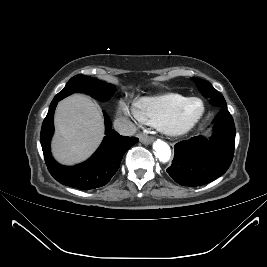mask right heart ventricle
<instances>
[{
	"label": "right heart ventricle",
	"mask_w": 267,
	"mask_h": 267,
	"mask_svg": "<svg viewBox=\"0 0 267 267\" xmlns=\"http://www.w3.org/2000/svg\"><path fill=\"white\" fill-rule=\"evenodd\" d=\"M187 97L178 93H166L157 96L142 97L135 103V109L141 121L157 124L174 110Z\"/></svg>",
	"instance_id": "e07e8e85"
}]
</instances>
